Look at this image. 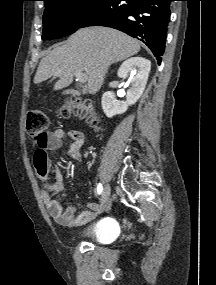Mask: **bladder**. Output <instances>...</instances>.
<instances>
[{"label":"bladder","mask_w":216,"mask_h":285,"mask_svg":"<svg viewBox=\"0 0 216 285\" xmlns=\"http://www.w3.org/2000/svg\"><path fill=\"white\" fill-rule=\"evenodd\" d=\"M117 234L116 224L110 219H102L75 233V238L104 244L110 242Z\"/></svg>","instance_id":"bladder-1"}]
</instances>
